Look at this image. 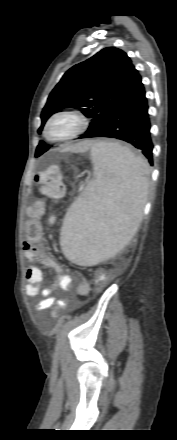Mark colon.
Wrapping results in <instances>:
<instances>
[{
  "label": "colon",
  "instance_id": "1",
  "mask_svg": "<svg viewBox=\"0 0 177 440\" xmlns=\"http://www.w3.org/2000/svg\"><path fill=\"white\" fill-rule=\"evenodd\" d=\"M35 182L40 186L41 193L52 199L58 200L65 194V186L62 181V173L58 166H52L46 171L35 174ZM100 284H96V290Z\"/></svg>",
  "mask_w": 177,
  "mask_h": 440
}]
</instances>
